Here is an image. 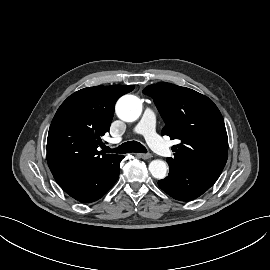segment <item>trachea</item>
<instances>
[{"label":"trachea","instance_id":"3493384b","mask_svg":"<svg viewBox=\"0 0 270 270\" xmlns=\"http://www.w3.org/2000/svg\"><path fill=\"white\" fill-rule=\"evenodd\" d=\"M108 152H113V153H120V154H125V153H147L146 148L139 142L137 141H128L123 143L122 145L118 146L115 149H110L108 148Z\"/></svg>","mask_w":270,"mask_h":270}]
</instances>
